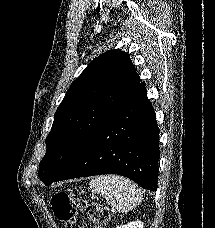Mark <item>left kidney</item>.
<instances>
[{"mask_svg":"<svg viewBox=\"0 0 215 228\" xmlns=\"http://www.w3.org/2000/svg\"><path fill=\"white\" fill-rule=\"evenodd\" d=\"M117 228H144L143 222H129V224H125V226H117Z\"/></svg>","mask_w":215,"mask_h":228,"instance_id":"obj_1","label":"left kidney"}]
</instances>
